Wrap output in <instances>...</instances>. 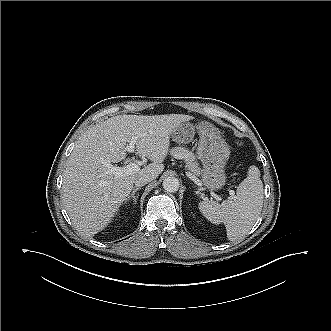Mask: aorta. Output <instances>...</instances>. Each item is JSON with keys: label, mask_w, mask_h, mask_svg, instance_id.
<instances>
[{"label": "aorta", "mask_w": 331, "mask_h": 331, "mask_svg": "<svg viewBox=\"0 0 331 331\" xmlns=\"http://www.w3.org/2000/svg\"><path fill=\"white\" fill-rule=\"evenodd\" d=\"M162 186L165 191L169 193H174L178 191L180 187L179 180L176 177H167L164 179Z\"/></svg>", "instance_id": "1"}]
</instances>
